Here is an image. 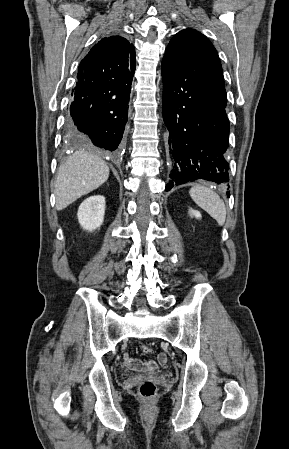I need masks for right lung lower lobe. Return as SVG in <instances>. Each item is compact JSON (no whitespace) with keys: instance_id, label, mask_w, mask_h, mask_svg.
Segmentation results:
<instances>
[{"instance_id":"1","label":"right lung lower lobe","mask_w":289,"mask_h":449,"mask_svg":"<svg viewBox=\"0 0 289 449\" xmlns=\"http://www.w3.org/2000/svg\"><path fill=\"white\" fill-rule=\"evenodd\" d=\"M134 70L113 78L78 79L67 118L68 132L88 138L100 148L115 151L128 119V101Z\"/></svg>"}]
</instances>
